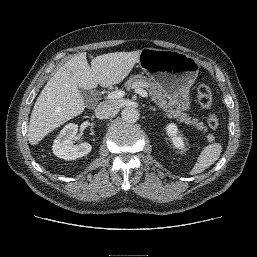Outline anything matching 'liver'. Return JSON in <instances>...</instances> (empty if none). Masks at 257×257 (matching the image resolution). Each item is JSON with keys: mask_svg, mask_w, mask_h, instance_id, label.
Here are the masks:
<instances>
[{"mask_svg": "<svg viewBox=\"0 0 257 257\" xmlns=\"http://www.w3.org/2000/svg\"><path fill=\"white\" fill-rule=\"evenodd\" d=\"M140 50L107 53L88 64L85 53L67 61L46 83L33 107L28 141L38 144L48 133L81 114L86 108L79 88L90 90L122 82L138 63Z\"/></svg>", "mask_w": 257, "mask_h": 257, "instance_id": "6515ba94", "label": "liver"}]
</instances>
